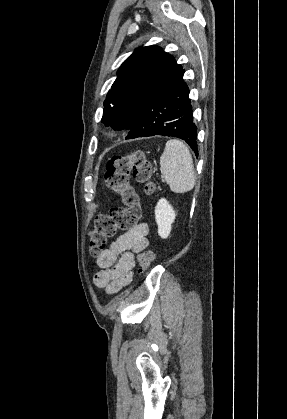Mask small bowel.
Masks as SVG:
<instances>
[{
  "label": "small bowel",
  "instance_id": "c3829d8e",
  "mask_svg": "<svg viewBox=\"0 0 287 419\" xmlns=\"http://www.w3.org/2000/svg\"><path fill=\"white\" fill-rule=\"evenodd\" d=\"M148 226L140 223L120 234L97 257L100 270L94 276L97 287L114 294L128 286L133 279L135 254L148 247Z\"/></svg>",
  "mask_w": 287,
  "mask_h": 419
}]
</instances>
